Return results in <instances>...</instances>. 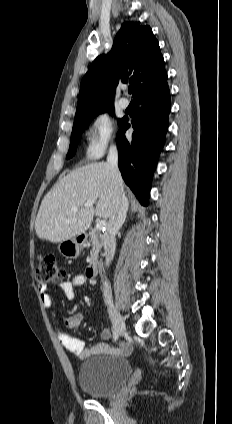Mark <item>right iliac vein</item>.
<instances>
[{
    "label": "right iliac vein",
    "instance_id": "obj_1",
    "mask_svg": "<svg viewBox=\"0 0 232 424\" xmlns=\"http://www.w3.org/2000/svg\"><path fill=\"white\" fill-rule=\"evenodd\" d=\"M108 313L110 315L114 329H116L119 334H124L126 332L125 321L117 308L114 306H109Z\"/></svg>",
    "mask_w": 232,
    "mask_h": 424
}]
</instances>
